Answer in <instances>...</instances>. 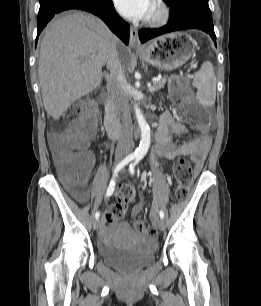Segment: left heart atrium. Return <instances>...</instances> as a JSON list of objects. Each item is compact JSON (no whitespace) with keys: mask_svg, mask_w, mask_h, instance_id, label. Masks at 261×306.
Returning a JSON list of instances; mask_svg holds the SVG:
<instances>
[{"mask_svg":"<svg viewBox=\"0 0 261 306\" xmlns=\"http://www.w3.org/2000/svg\"><path fill=\"white\" fill-rule=\"evenodd\" d=\"M114 3L118 12L131 20L148 17L153 8V0H114Z\"/></svg>","mask_w":261,"mask_h":306,"instance_id":"39dd6f15","label":"left heart atrium"}]
</instances>
